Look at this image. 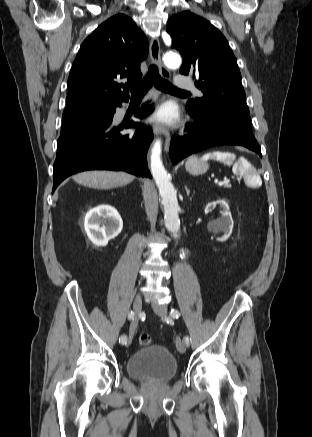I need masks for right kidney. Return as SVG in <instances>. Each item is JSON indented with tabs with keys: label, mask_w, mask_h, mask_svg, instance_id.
<instances>
[{
	"label": "right kidney",
	"mask_w": 312,
	"mask_h": 437,
	"mask_svg": "<svg viewBox=\"0 0 312 437\" xmlns=\"http://www.w3.org/2000/svg\"><path fill=\"white\" fill-rule=\"evenodd\" d=\"M84 228L93 244L106 246L109 240L119 235L123 221L114 207L103 204L87 212Z\"/></svg>",
	"instance_id": "1"
}]
</instances>
